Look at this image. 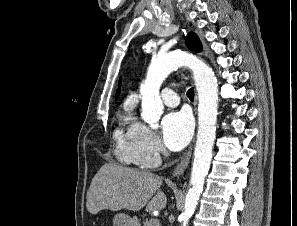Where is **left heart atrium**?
Instances as JSON below:
<instances>
[{
	"label": "left heart atrium",
	"mask_w": 297,
	"mask_h": 226,
	"mask_svg": "<svg viewBox=\"0 0 297 226\" xmlns=\"http://www.w3.org/2000/svg\"><path fill=\"white\" fill-rule=\"evenodd\" d=\"M163 141L173 151L183 149L189 142L193 132V122L185 111L167 114L162 120Z\"/></svg>",
	"instance_id": "left-heart-atrium-1"
}]
</instances>
